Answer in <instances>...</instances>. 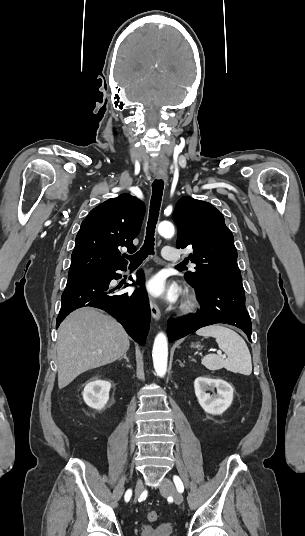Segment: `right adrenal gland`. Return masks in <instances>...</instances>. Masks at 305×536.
Returning <instances> with one entry per match:
<instances>
[{"mask_svg": "<svg viewBox=\"0 0 305 536\" xmlns=\"http://www.w3.org/2000/svg\"><path fill=\"white\" fill-rule=\"evenodd\" d=\"M124 360H126V362H129L128 358H127V354H125V356H123ZM123 358H120V360H123Z\"/></svg>", "mask_w": 305, "mask_h": 536, "instance_id": "right-adrenal-gland-1", "label": "right adrenal gland"}]
</instances>
